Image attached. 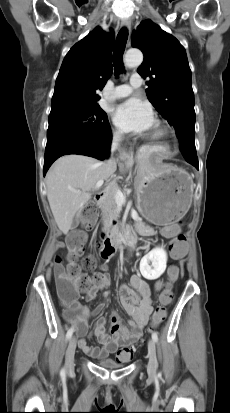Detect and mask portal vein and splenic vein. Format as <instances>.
Listing matches in <instances>:
<instances>
[{
  "label": "portal vein and splenic vein",
  "mask_w": 230,
  "mask_h": 413,
  "mask_svg": "<svg viewBox=\"0 0 230 413\" xmlns=\"http://www.w3.org/2000/svg\"><path fill=\"white\" fill-rule=\"evenodd\" d=\"M103 183H104V180H99L95 185V189L100 188L103 185ZM74 192H76V191H74ZM114 197H115V201H116L117 204H124L126 202V198L120 190L115 191ZM132 215L136 219L138 218L137 213H134Z\"/></svg>",
  "instance_id": "portal-vein-and-splenic-vein-1"
}]
</instances>
